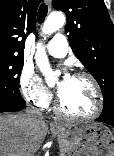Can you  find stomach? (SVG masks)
<instances>
[{
	"label": "stomach",
	"mask_w": 114,
	"mask_h": 156,
	"mask_svg": "<svg viewBox=\"0 0 114 156\" xmlns=\"http://www.w3.org/2000/svg\"><path fill=\"white\" fill-rule=\"evenodd\" d=\"M60 156H114V135L101 123L61 124L52 129Z\"/></svg>",
	"instance_id": "1"
}]
</instances>
